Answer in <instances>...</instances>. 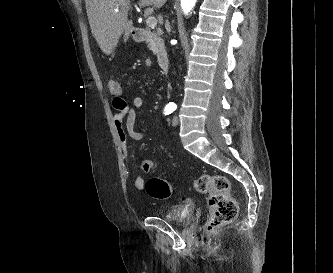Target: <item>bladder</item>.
Returning <instances> with one entry per match:
<instances>
[{
	"label": "bladder",
	"instance_id": "1",
	"mask_svg": "<svg viewBox=\"0 0 333 273\" xmlns=\"http://www.w3.org/2000/svg\"><path fill=\"white\" fill-rule=\"evenodd\" d=\"M163 217L172 223H186L193 217V206L188 202L172 204L167 207Z\"/></svg>",
	"mask_w": 333,
	"mask_h": 273
}]
</instances>
